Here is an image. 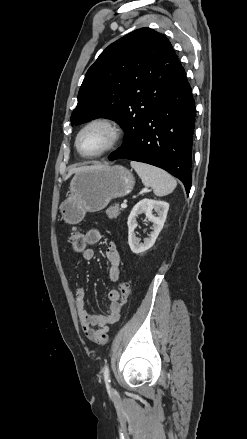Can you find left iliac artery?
Here are the masks:
<instances>
[{
    "label": "left iliac artery",
    "mask_w": 247,
    "mask_h": 439,
    "mask_svg": "<svg viewBox=\"0 0 247 439\" xmlns=\"http://www.w3.org/2000/svg\"><path fill=\"white\" fill-rule=\"evenodd\" d=\"M103 373H104V381H105V383L109 384L110 383V372H109L108 364H106L104 366Z\"/></svg>",
    "instance_id": "1"
}]
</instances>
